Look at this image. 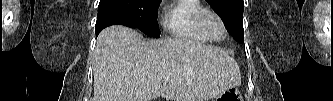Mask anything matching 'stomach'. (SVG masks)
I'll return each instance as SVG.
<instances>
[{"instance_id": "1", "label": "stomach", "mask_w": 333, "mask_h": 101, "mask_svg": "<svg viewBox=\"0 0 333 101\" xmlns=\"http://www.w3.org/2000/svg\"><path fill=\"white\" fill-rule=\"evenodd\" d=\"M214 101H242V97L236 87H231L219 94Z\"/></svg>"}]
</instances>
